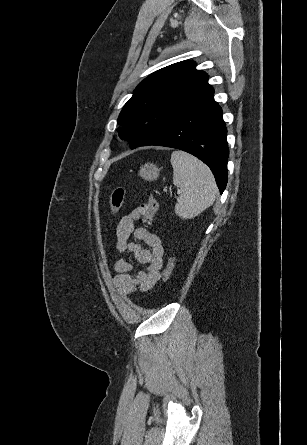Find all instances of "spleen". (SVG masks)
Masks as SVG:
<instances>
[{
	"label": "spleen",
	"mask_w": 307,
	"mask_h": 445,
	"mask_svg": "<svg viewBox=\"0 0 307 445\" xmlns=\"http://www.w3.org/2000/svg\"><path fill=\"white\" fill-rule=\"evenodd\" d=\"M170 162L173 184L179 186L175 212L181 218H193L213 204L218 192L215 178L207 164L183 150H174Z\"/></svg>",
	"instance_id": "obj_1"
}]
</instances>
